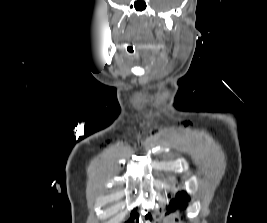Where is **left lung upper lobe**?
<instances>
[{
	"instance_id": "5c2ea615",
	"label": "left lung upper lobe",
	"mask_w": 267,
	"mask_h": 223,
	"mask_svg": "<svg viewBox=\"0 0 267 223\" xmlns=\"http://www.w3.org/2000/svg\"><path fill=\"white\" fill-rule=\"evenodd\" d=\"M170 203V206L164 209V214H180L182 207L187 206V204H195L196 200L190 199L186 192H179Z\"/></svg>"
}]
</instances>
